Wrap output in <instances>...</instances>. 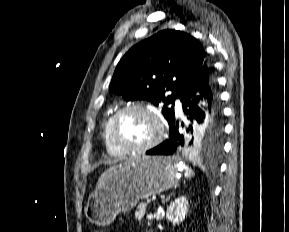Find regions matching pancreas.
I'll return each instance as SVG.
<instances>
[{
    "label": "pancreas",
    "instance_id": "pancreas-1",
    "mask_svg": "<svg viewBox=\"0 0 289 232\" xmlns=\"http://www.w3.org/2000/svg\"><path fill=\"white\" fill-rule=\"evenodd\" d=\"M146 208H147V204L146 203H142L137 207V210L135 212V219L140 221L143 219L145 212H146Z\"/></svg>",
    "mask_w": 289,
    "mask_h": 232
}]
</instances>
